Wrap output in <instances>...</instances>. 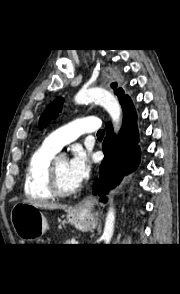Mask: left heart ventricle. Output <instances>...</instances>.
I'll list each match as a JSON object with an SVG mask.
<instances>
[{
  "label": "left heart ventricle",
  "mask_w": 180,
  "mask_h": 294,
  "mask_svg": "<svg viewBox=\"0 0 180 294\" xmlns=\"http://www.w3.org/2000/svg\"><path fill=\"white\" fill-rule=\"evenodd\" d=\"M56 168L58 181L63 190L69 191L78 187L68 172V162L65 159H58Z\"/></svg>",
  "instance_id": "1"
}]
</instances>
